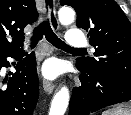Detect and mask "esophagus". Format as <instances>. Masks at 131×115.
Here are the masks:
<instances>
[{"label": "esophagus", "mask_w": 131, "mask_h": 115, "mask_svg": "<svg viewBox=\"0 0 131 115\" xmlns=\"http://www.w3.org/2000/svg\"><path fill=\"white\" fill-rule=\"evenodd\" d=\"M43 16L45 19L50 20L51 26L54 30H58L59 23L56 16L55 0H43ZM43 88L46 93L51 94L55 88V84L48 80H43Z\"/></svg>", "instance_id": "obj_1"}]
</instances>
